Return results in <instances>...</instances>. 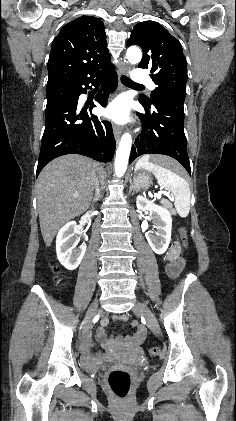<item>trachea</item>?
<instances>
[{
  "label": "trachea",
  "instance_id": "obj_1",
  "mask_svg": "<svg viewBox=\"0 0 236 421\" xmlns=\"http://www.w3.org/2000/svg\"><path fill=\"white\" fill-rule=\"evenodd\" d=\"M121 82L126 87H128V86L129 87H144V85H141L140 83L133 82V80H131L130 78H128L126 76L121 77Z\"/></svg>",
  "mask_w": 236,
  "mask_h": 421
}]
</instances>
